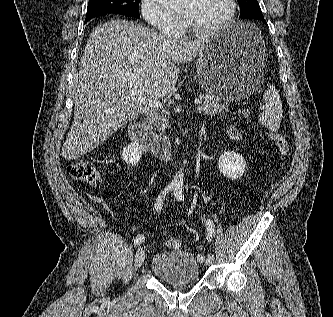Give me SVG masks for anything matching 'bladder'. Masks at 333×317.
Wrapping results in <instances>:
<instances>
[{
  "instance_id": "obj_1",
  "label": "bladder",
  "mask_w": 333,
  "mask_h": 317,
  "mask_svg": "<svg viewBox=\"0 0 333 317\" xmlns=\"http://www.w3.org/2000/svg\"><path fill=\"white\" fill-rule=\"evenodd\" d=\"M150 270L161 281L187 285L200 278V265L194 254L185 250L160 252L151 258Z\"/></svg>"
}]
</instances>
